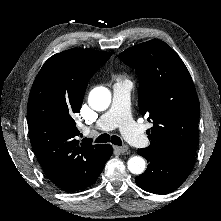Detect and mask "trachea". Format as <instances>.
Instances as JSON below:
<instances>
[{"label": "trachea", "instance_id": "1", "mask_svg": "<svg viewBox=\"0 0 221 221\" xmlns=\"http://www.w3.org/2000/svg\"><path fill=\"white\" fill-rule=\"evenodd\" d=\"M96 143H106V142H111L112 144L115 145H122V140L116 136V135H112L110 136L109 134H101L96 140Z\"/></svg>", "mask_w": 221, "mask_h": 221}]
</instances>
